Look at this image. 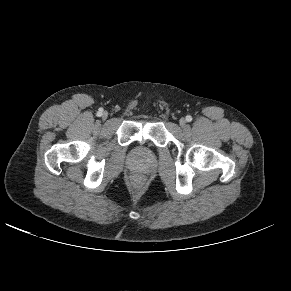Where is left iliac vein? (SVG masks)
<instances>
[{
  "mask_svg": "<svg viewBox=\"0 0 291 291\" xmlns=\"http://www.w3.org/2000/svg\"><path fill=\"white\" fill-rule=\"evenodd\" d=\"M179 124H180L181 127L184 128L186 126V120L184 118H181L180 121H179Z\"/></svg>",
  "mask_w": 291,
  "mask_h": 291,
  "instance_id": "4c4485c4",
  "label": "left iliac vein"
}]
</instances>
